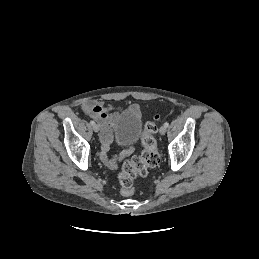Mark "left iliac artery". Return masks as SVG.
I'll list each match as a JSON object with an SVG mask.
<instances>
[{"label":"left iliac artery","instance_id":"44dca946","mask_svg":"<svg viewBox=\"0 0 259 259\" xmlns=\"http://www.w3.org/2000/svg\"><path fill=\"white\" fill-rule=\"evenodd\" d=\"M164 126H165V127H168V126H169V123H168V122H165V123H164Z\"/></svg>","mask_w":259,"mask_h":259}]
</instances>
